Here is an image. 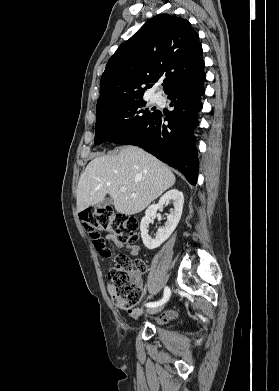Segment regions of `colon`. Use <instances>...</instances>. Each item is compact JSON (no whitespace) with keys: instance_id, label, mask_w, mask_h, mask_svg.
Returning a JSON list of instances; mask_svg holds the SVG:
<instances>
[{"instance_id":"5ec220e1","label":"colon","mask_w":279,"mask_h":391,"mask_svg":"<svg viewBox=\"0 0 279 391\" xmlns=\"http://www.w3.org/2000/svg\"><path fill=\"white\" fill-rule=\"evenodd\" d=\"M80 220L85 231L90 235L94 248L102 257H109L111 250L102 232L109 233L114 241L121 244H134L139 239V223L133 216L116 213L110 207L86 209L80 213ZM145 264L138 261L134 265L123 254L115 258L108 279L111 297L120 309L130 311L142 299L143 289L137 272L143 271Z\"/></svg>"}]
</instances>
